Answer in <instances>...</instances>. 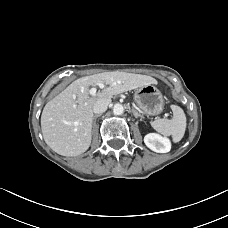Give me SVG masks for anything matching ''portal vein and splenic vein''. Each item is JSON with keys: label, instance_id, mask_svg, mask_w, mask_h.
I'll return each mask as SVG.
<instances>
[{"label": "portal vein and splenic vein", "instance_id": "18ae733b", "mask_svg": "<svg viewBox=\"0 0 228 228\" xmlns=\"http://www.w3.org/2000/svg\"><path fill=\"white\" fill-rule=\"evenodd\" d=\"M99 87H100V88H103L104 85H103V84H100ZM96 91H97V89H96L95 87H93V88H91V89L89 90V93H90L91 95H96Z\"/></svg>", "mask_w": 228, "mask_h": 228}]
</instances>
